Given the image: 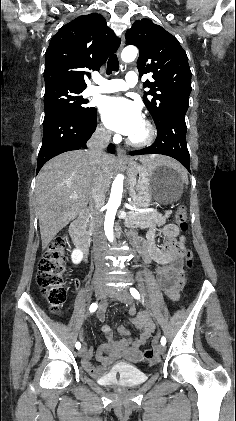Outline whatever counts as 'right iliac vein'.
<instances>
[{
    "instance_id": "right-iliac-vein-1",
    "label": "right iliac vein",
    "mask_w": 236,
    "mask_h": 421,
    "mask_svg": "<svg viewBox=\"0 0 236 421\" xmlns=\"http://www.w3.org/2000/svg\"><path fill=\"white\" fill-rule=\"evenodd\" d=\"M103 284H104V280H98L95 286V297L98 300L103 299L105 295H107V291L103 288ZM85 353H86V348L85 346H83L81 349H79L78 356L82 357L84 356Z\"/></svg>"
}]
</instances>
